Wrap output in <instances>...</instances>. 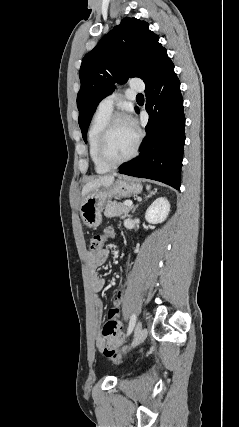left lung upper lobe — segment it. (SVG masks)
<instances>
[{"label":"left lung upper lobe","instance_id":"left-lung-upper-lobe-1","mask_svg":"<svg viewBox=\"0 0 239 427\" xmlns=\"http://www.w3.org/2000/svg\"><path fill=\"white\" fill-rule=\"evenodd\" d=\"M169 61L159 37L149 30L145 21L124 18L105 35L85 55L79 72L81 88L77 107L84 141L97 105L113 92L115 83H125L129 77H139L147 83Z\"/></svg>","mask_w":239,"mask_h":427}]
</instances>
